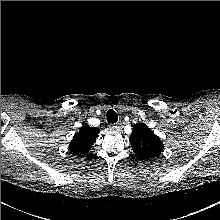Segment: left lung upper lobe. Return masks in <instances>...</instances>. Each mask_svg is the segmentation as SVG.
<instances>
[{"label": "left lung upper lobe", "instance_id": "left-lung-upper-lobe-1", "mask_svg": "<svg viewBox=\"0 0 220 220\" xmlns=\"http://www.w3.org/2000/svg\"><path fill=\"white\" fill-rule=\"evenodd\" d=\"M130 142L139 159L149 160L163 152L160 138L143 123H137L133 126Z\"/></svg>", "mask_w": 220, "mask_h": 220}]
</instances>
